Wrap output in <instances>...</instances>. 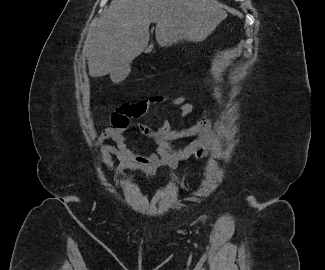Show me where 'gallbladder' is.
Wrapping results in <instances>:
<instances>
[{
    "instance_id": "1",
    "label": "gallbladder",
    "mask_w": 325,
    "mask_h": 270,
    "mask_svg": "<svg viewBox=\"0 0 325 270\" xmlns=\"http://www.w3.org/2000/svg\"><path fill=\"white\" fill-rule=\"evenodd\" d=\"M121 69H124L125 71H128V67L127 66H122L121 68H120V70Z\"/></svg>"
}]
</instances>
